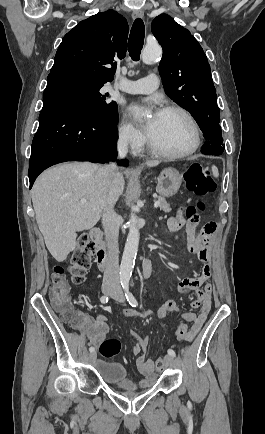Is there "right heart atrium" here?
I'll return each instance as SVG.
<instances>
[{
	"mask_svg": "<svg viewBox=\"0 0 265 434\" xmlns=\"http://www.w3.org/2000/svg\"><path fill=\"white\" fill-rule=\"evenodd\" d=\"M116 137L113 142L115 148H124L125 154H140L146 149V138L141 132H136V127L130 118L120 116L116 124Z\"/></svg>",
	"mask_w": 265,
	"mask_h": 434,
	"instance_id": "1",
	"label": "right heart atrium"
}]
</instances>
